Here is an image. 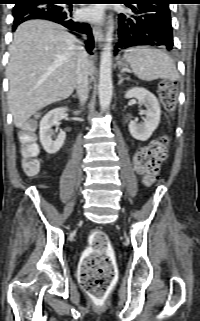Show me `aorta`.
Segmentation results:
<instances>
[{
    "label": "aorta",
    "instance_id": "aorta-1",
    "mask_svg": "<svg viewBox=\"0 0 200 321\" xmlns=\"http://www.w3.org/2000/svg\"><path fill=\"white\" fill-rule=\"evenodd\" d=\"M109 27L106 34L105 44L101 52L99 70V103L102 111H105L112 98V41H113V19L110 17Z\"/></svg>",
    "mask_w": 200,
    "mask_h": 321
}]
</instances>
